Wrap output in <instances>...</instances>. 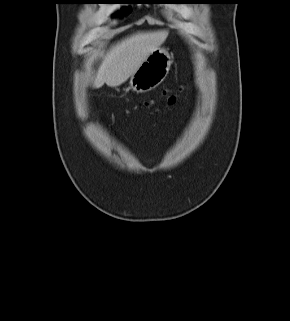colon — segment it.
Here are the masks:
<instances>
[{
    "mask_svg": "<svg viewBox=\"0 0 290 321\" xmlns=\"http://www.w3.org/2000/svg\"><path fill=\"white\" fill-rule=\"evenodd\" d=\"M179 88L166 90L163 94V100L166 104L171 105L174 104L176 101V97L179 93Z\"/></svg>",
    "mask_w": 290,
    "mask_h": 321,
    "instance_id": "5ec220e1",
    "label": "colon"
}]
</instances>
